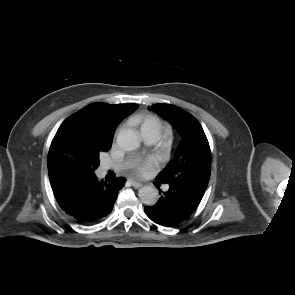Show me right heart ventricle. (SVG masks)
I'll list each match as a JSON object with an SVG mask.
<instances>
[{
    "mask_svg": "<svg viewBox=\"0 0 295 295\" xmlns=\"http://www.w3.org/2000/svg\"><path fill=\"white\" fill-rule=\"evenodd\" d=\"M133 121L139 125L142 135H150L156 139L160 138L166 128L163 119L152 113L138 115Z\"/></svg>",
    "mask_w": 295,
    "mask_h": 295,
    "instance_id": "right-heart-ventricle-1",
    "label": "right heart ventricle"
}]
</instances>
